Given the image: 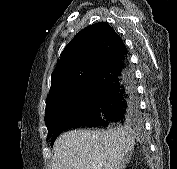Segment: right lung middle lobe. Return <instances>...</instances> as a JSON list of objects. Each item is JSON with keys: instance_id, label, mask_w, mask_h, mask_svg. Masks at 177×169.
I'll return each mask as SVG.
<instances>
[{"instance_id": "1", "label": "right lung middle lobe", "mask_w": 177, "mask_h": 169, "mask_svg": "<svg viewBox=\"0 0 177 169\" xmlns=\"http://www.w3.org/2000/svg\"><path fill=\"white\" fill-rule=\"evenodd\" d=\"M93 92L94 85L90 81L81 85L64 100L46 106L45 124L48 129L47 140L53 136L54 132L64 121L88 106Z\"/></svg>"}]
</instances>
